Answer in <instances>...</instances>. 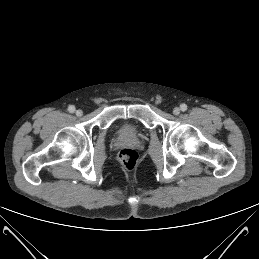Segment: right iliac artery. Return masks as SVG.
I'll list each match as a JSON object with an SVG mask.
<instances>
[{"label":"right iliac artery","instance_id":"1","mask_svg":"<svg viewBox=\"0 0 259 259\" xmlns=\"http://www.w3.org/2000/svg\"><path fill=\"white\" fill-rule=\"evenodd\" d=\"M68 111H69L70 113H74L75 107H74L73 105H70V106L68 107Z\"/></svg>","mask_w":259,"mask_h":259}]
</instances>
